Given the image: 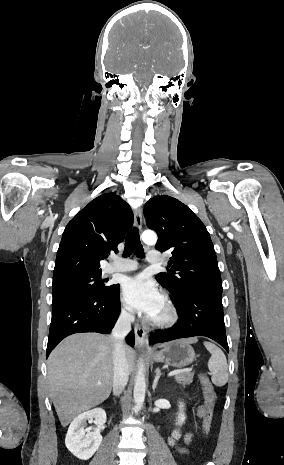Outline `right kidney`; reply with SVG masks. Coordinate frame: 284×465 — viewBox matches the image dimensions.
<instances>
[{
	"label": "right kidney",
	"instance_id": "ca27d5eb",
	"mask_svg": "<svg viewBox=\"0 0 284 465\" xmlns=\"http://www.w3.org/2000/svg\"><path fill=\"white\" fill-rule=\"evenodd\" d=\"M89 419H95L93 423H95L96 429H94L93 433H87L86 435L84 427ZM104 423H106V413L103 409H92V411H86V413L78 415L67 431L65 445L68 451L73 453L77 459H82V461L90 459L102 443L100 431Z\"/></svg>",
	"mask_w": 284,
	"mask_h": 465
}]
</instances>
